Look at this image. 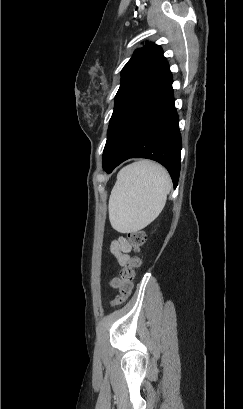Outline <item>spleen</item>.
Instances as JSON below:
<instances>
[{"instance_id": "obj_1", "label": "spleen", "mask_w": 243, "mask_h": 409, "mask_svg": "<svg viewBox=\"0 0 243 409\" xmlns=\"http://www.w3.org/2000/svg\"><path fill=\"white\" fill-rule=\"evenodd\" d=\"M171 186L167 171L152 161L123 167L109 198L112 227L122 233L145 228L163 210Z\"/></svg>"}]
</instances>
